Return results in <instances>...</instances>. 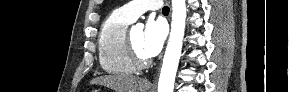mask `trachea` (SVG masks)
Masks as SVG:
<instances>
[{
  "instance_id": "trachea-1",
  "label": "trachea",
  "mask_w": 289,
  "mask_h": 92,
  "mask_svg": "<svg viewBox=\"0 0 289 92\" xmlns=\"http://www.w3.org/2000/svg\"><path fill=\"white\" fill-rule=\"evenodd\" d=\"M170 11L168 6L163 7L162 12L163 13H168Z\"/></svg>"
}]
</instances>
